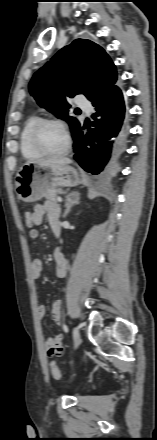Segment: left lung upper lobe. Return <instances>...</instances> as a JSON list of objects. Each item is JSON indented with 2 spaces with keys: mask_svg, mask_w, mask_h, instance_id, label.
I'll use <instances>...</instances> for the list:
<instances>
[{
  "mask_svg": "<svg viewBox=\"0 0 157 440\" xmlns=\"http://www.w3.org/2000/svg\"><path fill=\"white\" fill-rule=\"evenodd\" d=\"M116 81V67L105 50L90 40L76 39L34 74L29 90L41 107L66 120L73 133L80 122L68 115L66 97L83 94L93 102Z\"/></svg>",
  "mask_w": 157,
  "mask_h": 440,
  "instance_id": "obj_1",
  "label": "left lung upper lobe"
}]
</instances>
